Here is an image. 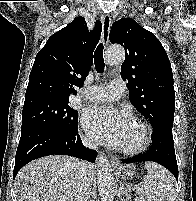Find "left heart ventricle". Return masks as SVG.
Returning a JSON list of instances; mask_svg holds the SVG:
<instances>
[{
	"mask_svg": "<svg viewBox=\"0 0 196 201\" xmlns=\"http://www.w3.org/2000/svg\"><path fill=\"white\" fill-rule=\"evenodd\" d=\"M140 137V129L136 124L133 123L128 132L126 133L120 146L125 148L133 147L139 142Z\"/></svg>",
	"mask_w": 196,
	"mask_h": 201,
	"instance_id": "left-heart-ventricle-1",
	"label": "left heart ventricle"
}]
</instances>
